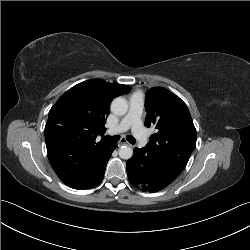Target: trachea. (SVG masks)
<instances>
[{
	"mask_svg": "<svg viewBox=\"0 0 250 250\" xmlns=\"http://www.w3.org/2000/svg\"><path fill=\"white\" fill-rule=\"evenodd\" d=\"M104 139L105 140H108V141H112V142H117L119 139H120V136L119 135H115V136H104ZM126 139L128 142H130L131 144H135L136 143V140L133 136L131 135H127L126 136Z\"/></svg>",
	"mask_w": 250,
	"mask_h": 250,
	"instance_id": "1",
	"label": "trachea"
}]
</instances>
